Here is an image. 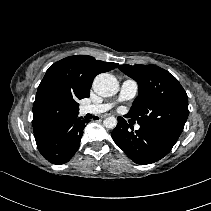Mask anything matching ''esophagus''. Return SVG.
I'll use <instances>...</instances> for the list:
<instances>
[{"label":"esophagus","mask_w":211,"mask_h":211,"mask_svg":"<svg viewBox=\"0 0 211 211\" xmlns=\"http://www.w3.org/2000/svg\"><path fill=\"white\" fill-rule=\"evenodd\" d=\"M108 116H109V114H103V115L100 116V118H106Z\"/></svg>","instance_id":"obj_1"}]
</instances>
